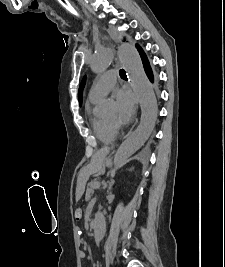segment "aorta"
Segmentation results:
<instances>
[{"label":"aorta","instance_id":"1","mask_svg":"<svg viewBox=\"0 0 225 267\" xmlns=\"http://www.w3.org/2000/svg\"><path fill=\"white\" fill-rule=\"evenodd\" d=\"M118 56L141 106V120L137 129L119 147L114 158L115 168L121 167L149 138L158 115V107L152 86L145 74L140 55L134 45L121 44ZM112 63V52L108 47L98 50L90 61L95 73L104 72ZM108 101L104 102L107 105ZM105 234V219L102 213L95 214L94 238L102 240Z\"/></svg>","mask_w":225,"mask_h":267}]
</instances>
